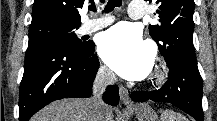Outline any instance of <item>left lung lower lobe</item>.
I'll return each instance as SVG.
<instances>
[{
    "label": "left lung lower lobe",
    "mask_w": 217,
    "mask_h": 121,
    "mask_svg": "<svg viewBox=\"0 0 217 121\" xmlns=\"http://www.w3.org/2000/svg\"><path fill=\"white\" fill-rule=\"evenodd\" d=\"M169 80L159 90L134 91L132 101L166 102L175 105L184 112L203 121L202 110V78L197 62L186 58H175L167 62Z\"/></svg>",
    "instance_id": "0a47b994"
}]
</instances>
